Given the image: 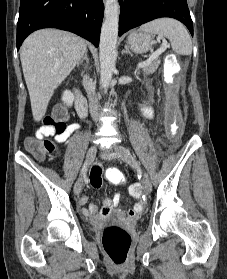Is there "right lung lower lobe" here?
Instances as JSON below:
<instances>
[{
	"label": "right lung lower lobe",
	"instance_id": "98d812e1",
	"mask_svg": "<svg viewBox=\"0 0 227 279\" xmlns=\"http://www.w3.org/2000/svg\"><path fill=\"white\" fill-rule=\"evenodd\" d=\"M102 0H21L17 24V50L33 31L59 28L99 46L103 20Z\"/></svg>",
	"mask_w": 227,
	"mask_h": 279
}]
</instances>
